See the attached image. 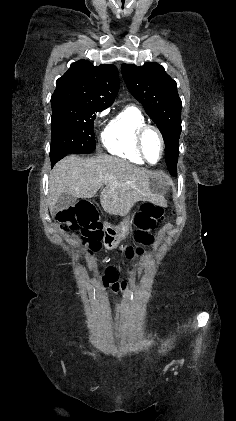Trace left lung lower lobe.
Wrapping results in <instances>:
<instances>
[{"instance_id": "1", "label": "left lung lower lobe", "mask_w": 236, "mask_h": 421, "mask_svg": "<svg viewBox=\"0 0 236 421\" xmlns=\"http://www.w3.org/2000/svg\"><path fill=\"white\" fill-rule=\"evenodd\" d=\"M168 170L172 176H177L176 165H167Z\"/></svg>"}]
</instances>
